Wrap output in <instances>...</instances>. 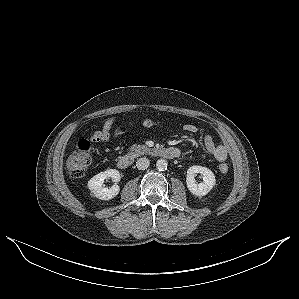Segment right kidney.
Segmentation results:
<instances>
[{"label":"right kidney","mask_w":299,"mask_h":299,"mask_svg":"<svg viewBox=\"0 0 299 299\" xmlns=\"http://www.w3.org/2000/svg\"><path fill=\"white\" fill-rule=\"evenodd\" d=\"M111 178L115 183L110 188L103 187L105 179ZM121 179V175L116 169H108L104 172H100L93 176L88 181V188L94 194V196L101 200H110L118 195L120 188L117 185Z\"/></svg>","instance_id":"1"}]
</instances>
